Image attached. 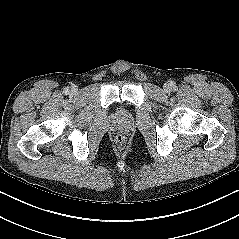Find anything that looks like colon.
Instances as JSON below:
<instances>
[{
  "label": "colon",
  "instance_id": "1",
  "mask_svg": "<svg viewBox=\"0 0 239 239\" xmlns=\"http://www.w3.org/2000/svg\"><path fill=\"white\" fill-rule=\"evenodd\" d=\"M117 142H118L119 144H122V143L124 142V138H123L122 136H118V137H117Z\"/></svg>",
  "mask_w": 239,
  "mask_h": 239
}]
</instances>
